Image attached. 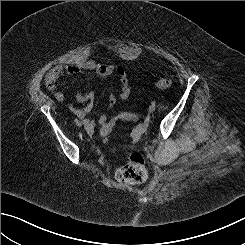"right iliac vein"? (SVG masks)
<instances>
[{
    "label": "right iliac vein",
    "mask_w": 245,
    "mask_h": 245,
    "mask_svg": "<svg viewBox=\"0 0 245 245\" xmlns=\"http://www.w3.org/2000/svg\"><path fill=\"white\" fill-rule=\"evenodd\" d=\"M82 125H83V123L82 122H79L78 126L81 127Z\"/></svg>",
    "instance_id": "obj_1"
}]
</instances>
